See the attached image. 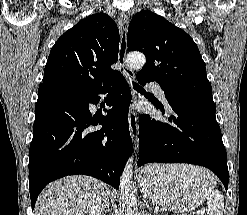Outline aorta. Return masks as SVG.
I'll use <instances>...</instances> for the list:
<instances>
[{"label":"aorta","instance_id":"762f6f07","mask_svg":"<svg viewBox=\"0 0 247 215\" xmlns=\"http://www.w3.org/2000/svg\"><path fill=\"white\" fill-rule=\"evenodd\" d=\"M146 61L145 56L142 53L134 52L127 56V64L134 69H140L144 66ZM133 167L134 158L131 155L125 165V168L120 177V200L122 204L123 215H140L137 201L134 194V182H133Z\"/></svg>","mask_w":247,"mask_h":215}]
</instances>
